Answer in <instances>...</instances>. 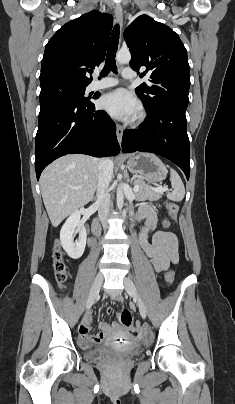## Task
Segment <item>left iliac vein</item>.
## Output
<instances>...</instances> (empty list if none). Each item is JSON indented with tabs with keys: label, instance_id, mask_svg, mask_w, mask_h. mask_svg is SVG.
I'll return each mask as SVG.
<instances>
[{
	"label": "left iliac vein",
	"instance_id": "1",
	"mask_svg": "<svg viewBox=\"0 0 235 404\" xmlns=\"http://www.w3.org/2000/svg\"><path fill=\"white\" fill-rule=\"evenodd\" d=\"M123 282H124L126 292L131 297L134 298L135 302L137 303V305L139 307L141 316L143 318H145L146 317V307L144 305V302L142 301V299L140 298V296L138 294V291L136 289L134 282L132 281V279L130 277H125Z\"/></svg>",
	"mask_w": 235,
	"mask_h": 404
}]
</instances>
